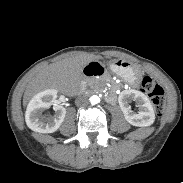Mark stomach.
I'll list each match as a JSON object with an SVG mask.
<instances>
[{"label": "stomach", "mask_w": 183, "mask_h": 183, "mask_svg": "<svg viewBox=\"0 0 183 183\" xmlns=\"http://www.w3.org/2000/svg\"><path fill=\"white\" fill-rule=\"evenodd\" d=\"M108 65L113 73L122 77L131 85L139 84L142 79V70L126 60L113 59Z\"/></svg>", "instance_id": "stomach-1"}]
</instances>
